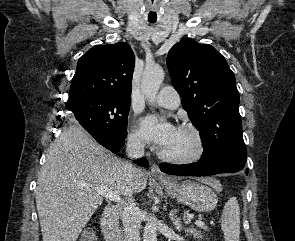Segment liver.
<instances>
[{
  "mask_svg": "<svg viewBox=\"0 0 295 241\" xmlns=\"http://www.w3.org/2000/svg\"><path fill=\"white\" fill-rule=\"evenodd\" d=\"M123 162L87 132L71 127L50 146L37 181L36 206L43 241H76L103 197L88 186H103L117 195L142 192L139 170L132 183L123 178ZM205 184L216 180L206 178Z\"/></svg>",
  "mask_w": 295,
  "mask_h": 241,
  "instance_id": "obj_1",
  "label": "liver"
}]
</instances>
